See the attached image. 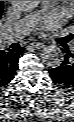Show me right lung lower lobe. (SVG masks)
<instances>
[{"mask_svg":"<svg viewBox=\"0 0 74 122\" xmlns=\"http://www.w3.org/2000/svg\"><path fill=\"white\" fill-rule=\"evenodd\" d=\"M24 48L0 50V87L7 85L15 75L18 59Z\"/></svg>","mask_w":74,"mask_h":122,"instance_id":"98d812e1","label":"right lung lower lobe"}]
</instances>
